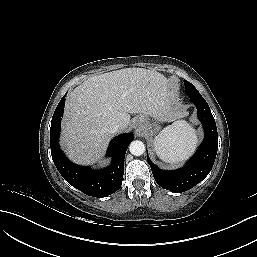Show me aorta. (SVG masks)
Masks as SVG:
<instances>
[{"label": "aorta", "instance_id": "aorta-1", "mask_svg": "<svg viewBox=\"0 0 257 257\" xmlns=\"http://www.w3.org/2000/svg\"><path fill=\"white\" fill-rule=\"evenodd\" d=\"M130 153L134 156H141L145 152V145L142 141L135 140L129 145Z\"/></svg>", "mask_w": 257, "mask_h": 257}]
</instances>
